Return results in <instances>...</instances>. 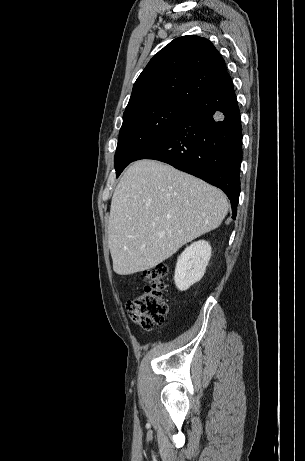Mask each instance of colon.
I'll return each mask as SVG.
<instances>
[{"label":"colon","mask_w":305,"mask_h":461,"mask_svg":"<svg viewBox=\"0 0 305 461\" xmlns=\"http://www.w3.org/2000/svg\"><path fill=\"white\" fill-rule=\"evenodd\" d=\"M167 273L168 268L163 264L147 270L141 293L127 303L128 316L144 330H151L165 321L168 305L164 300V279Z\"/></svg>","instance_id":"5ec220e1"}]
</instances>
